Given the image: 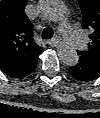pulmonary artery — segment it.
I'll return each instance as SVG.
<instances>
[{
  "instance_id": "pulmonary-artery-1",
  "label": "pulmonary artery",
  "mask_w": 100,
  "mask_h": 118,
  "mask_svg": "<svg viewBox=\"0 0 100 118\" xmlns=\"http://www.w3.org/2000/svg\"><path fill=\"white\" fill-rule=\"evenodd\" d=\"M65 40L75 48L83 44V34L72 27L69 23H63L59 27Z\"/></svg>"
}]
</instances>
